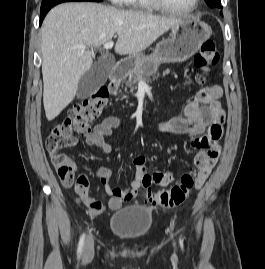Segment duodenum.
<instances>
[{
    "label": "duodenum",
    "instance_id": "duodenum-1",
    "mask_svg": "<svg viewBox=\"0 0 265 269\" xmlns=\"http://www.w3.org/2000/svg\"><path fill=\"white\" fill-rule=\"evenodd\" d=\"M125 73V68L122 62H117L110 70V79L111 82L114 84L118 82Z\"/></svg>",
    "mask_w": 265,
    "mask_h": 269
}]
</instances>
